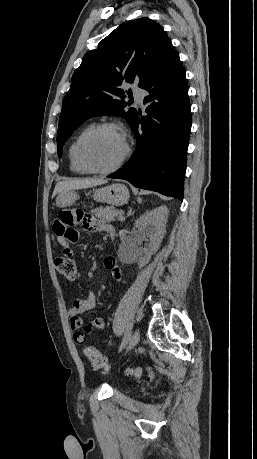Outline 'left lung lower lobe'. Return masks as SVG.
Returning <instances> with one entry per match:
<instances>
[{"mask_svg": "<svg viewBox=\"0 0 257 459\" xmlns=\"http://www.w3.org/2000/svg\"><path fill=\"white\" fill-rule=\"evenodd\" d=\"M143 89L149 93L144 98L147 116L137 114L131 123L135 153L107 177L183 200L191 112L185 71L175 49Z\"/></svg>", "mask_w": 257, "mask_h": 459, "instance_id": "obj_1", "label": "left lung lower lobe"}]
</instances>
